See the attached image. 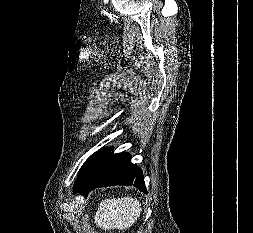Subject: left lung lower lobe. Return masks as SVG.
Returning a JSON list of instances; mask_svg holds the SVG:
<instances>
[{
    "mask_svg": "<svg viewBox=\"0 0 253 233\" xmlns=\"http://www.w3.org/2000/svg\"><path fill=\"white\" fill-rule=\"evenodd\" d=\"M112 150V147L101 150L88 176L74 185V193L87 196L95 188L112 185H134L146 192L142 171L130 162V155L113 154Z\"/></svg>",
    "mask_w": 253,
    "mask_h": 233,
    "instance_id": "obj_1",
    "label": "left lung lower lobe"
}]
</instances>
